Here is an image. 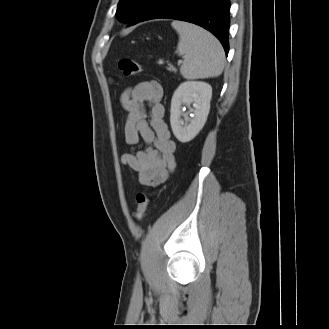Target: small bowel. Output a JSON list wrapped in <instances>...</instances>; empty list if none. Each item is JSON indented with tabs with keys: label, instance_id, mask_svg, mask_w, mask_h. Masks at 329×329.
Returning <instances> with one entry per match:
<instances>
[{
	"label": "small bowel",
	"instance_id": "1",
	"mask_svg": "<svg viewBox=\"0 0 329 329\" xmlns=\"http://www.w3.org/2000/svg\"><path fill=\"white\" fill-rule=\"evenodd\" d=\"M163 88L156 81H146L127 88L120 97L126 111L124 137L127 144L142 140L146 147L121 156V162L137 173L141 185L155 187L164 183L175 168L176 146L164 121L161 103ZM146 105L150 119L147 120Z\"/></svg>",
	"mask_w": 329,
	"mask_h": 329
}]
</instances>
